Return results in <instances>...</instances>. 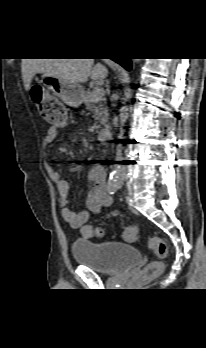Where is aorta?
<instances>
[{
  "label": "aorta",
  "mask_w": 206,
  "mask_h": 348,
  "mask_svg": "<svg viewBox=\"0 0 206 348\" xmlns=\"http://www.w3.org/2000/svg\"><path fill=\"white\" fill-rule=\"evenodd\" d=\"M140 61V59H134L133 62L136 63ZM119 119H120V124L122 126H124V124L126 123L127 119H128V108L127 107H122L120 110V114H119Z\"/></svg>",
  "instance_id": "obj_1"
}]
</instances>
